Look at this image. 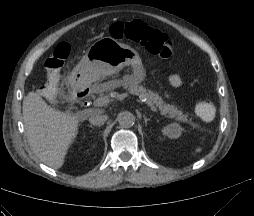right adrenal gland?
Wrapping results in <instances>:
<instances>
[{
  "label": "right adrenal gland",
  "instance_id": "2a0ac1e0",
  "mask_svg": "<svg viewBox=\"0 0 254 216\" xmlns=\"http://www.w3.org/2000/svg\"><path fill=\"white\" fill-rule=\"evenodd\" d=\"M90 128L94 129V127L92 125H89Z\"/></svg>",
  "mask_w": 254,
  "mask_h": 216
}]
</instances>
